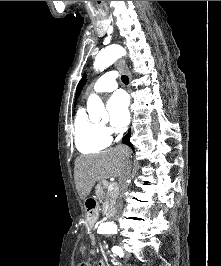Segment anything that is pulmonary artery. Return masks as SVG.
I'll list each match as a JSON object with an SVG mask.
<instances>
[{
	"label": "pulmonary artery",
	"mask_w": 221,
	"mask_h": 266,
	"mask_svg": "<svg viewBox=\"0 0 221 266\" xmlns=\"http://www.w3.org/2000/svg\"><path fill=\"white\" fill-rule=\"evenodd\" d=\"M117 88L116 76L112 72L103 74L93 86L94 93L112 92Z\"/></svg>",
	"instance_id": "obj_1"
}]
</instances>
